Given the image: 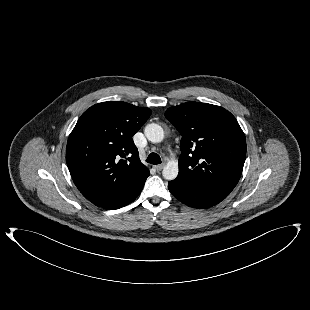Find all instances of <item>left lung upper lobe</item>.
<instances>
[{
  "label": "left lung upper lobe",
  "instance_id": "5c2ea615",
  "mask_svg": "<svg viewBox=\"0 0 310 310\" xmlns=\"http://www.w3.org/2000/svg\"><path fill=\"white\" fill-rule=\"evenodd\" d=\"M165 117L182 135L179 179L228 195L237 185L246 158V139L235 117L207 103L187 102Z\"/></svg>",
  "mask_w": 310,
  "mask_h": 310
}]
</instances>
